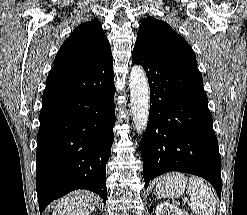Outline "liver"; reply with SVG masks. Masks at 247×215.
<instances>
[{
	"label": "liver",
	"mask_w": 247,
	"mask_h": 215,
	"mask_svg": "<svg viewBox=\"0 0 247 215\" xmlns=\"http://www.w3.org/2000/svg\"><path fill=\"white\" fill-rule=\"evenodd\" d=\"M96 198L87 191H76L64 197L55 206L52 215H90L94 209Z\"/></svg>",
	"instance_id": "liver-1"
}]
</instances>
